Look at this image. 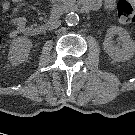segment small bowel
Listing matches in <instances>:
<instances>
[{"label":"small bowel","mask_w":135,"mask_h":135,"mask_svg":"<svg viewBox=\"0 0 135 135\" xmlns=\"http://www.w3.org/2000/svg\"><path fill=\"white\" fill-rule=\"evenodd\" d=\"M23 0H11L13 3L21 2ZM51 2H57L60 0H50ZM10 1H4L2 3V9L8 10L11 6ZM86 2L90 3L92 5V8H100L103 7L106 10H111L114 7L115 0H86ZM91 8V9H92ZM14 29L10 32V37H16L19 34L25 33L27 29V21L24 17H17L13 21Z\"/></svg>","instance_id":"c3829d8e"}]
</instances>
